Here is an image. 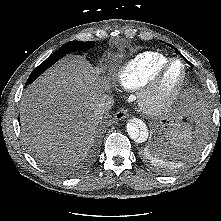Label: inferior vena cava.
<instances>
[{
	"mask_svg": "<svg viewBox=\"0 0 221 221\" xmlns=\"http://www.w3.org/2000/svg\"><path fill=\"white\" fill-rule=\"evenodd\" d=\"M114 105V100L111 96L106 95L101 102L98 104V111L101 113L102 118L103 114L109 111Z\"/></svg>",
	"mask_w": 221,
	"mask_h": 221,
	"instance_id": "1",
	"label": "inferior vena cava"
}]
</instances>
